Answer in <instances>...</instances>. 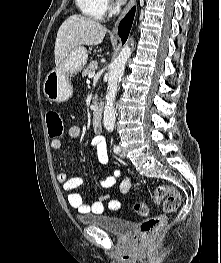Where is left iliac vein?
Instances as JSON below:
<instances>
[{
	"instance_id": "obj_1",
	"label": "left iliac vein",
	"mask_w": 221,
	"mask_h": 263,
	"mask_svg": "<svg viewBox=\"0 0 221 263\" xmlns=\"http://www.w3.org/2000/svg\"><path fill=\"white\" fill-rule=\"evenodd\" d=\"M120 156H121V157H124V156H125V154H124V152L122 151V149H121V152H120Z\"/></svg>"
}]
</instances>
